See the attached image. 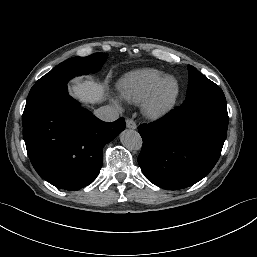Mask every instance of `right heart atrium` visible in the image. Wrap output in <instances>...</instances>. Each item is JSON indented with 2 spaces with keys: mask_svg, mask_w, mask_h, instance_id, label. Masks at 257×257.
Wrapping results in <instances>:
<instances>
[{
  "mask_svg": "<svg viewBox=\"0 0 257 257\" xmlns=\"http://www.w3.org/2000/svg\"><path fill=\"white\" fill-rule=\"evenodd\" d=\"M113 102H114V104H115L116 106H120V105H121L120 100L117 99V98L114 99Z\"/></svg>",
  "mask_w": 257,
  "mask_h": 257,
  "instance_id": "right-heart-atrium-1",
  "label": "right heart atrium"
}]
</instances>
